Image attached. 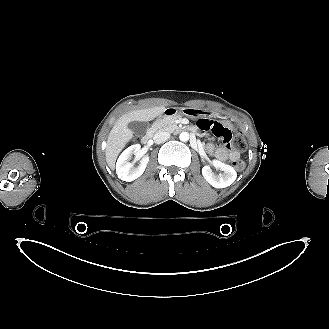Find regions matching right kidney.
I'll use <instances>...</instances> for the list:
<instances>
[{
  "instance_id": "right-kidney-1",
  "label": "right kidney",
  "mask_w": 329,
  "mask_h": 329,
  "mask_svg": "<svg viewBox=\"0 0 329 329\" xmlns=\"http://www.w3.org/2000/svg\"><path fill=\"white\" fill-rule=\"evenodd\" d=\"M141 146L139 144L131 145L126 150L122 152L116 163V173L118 178L123 181H133L140 177L148 164L149 157H144L137 167H134L131 162H129L133 155L138 156L140 153Z\"/></svg>"
}]
</instances>
